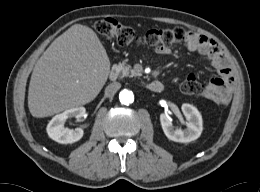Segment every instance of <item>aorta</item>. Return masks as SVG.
I'll return each instance as SVG.
<instances>
[{
  "label": "aorta",
  "instance_id": "aorta-1",
  "mask_svg": "<svg viewBox=\"0 0 260 192\" xmlns=\"http://www.w3.org/2000/svg\"><path fill=\"white\" fill-rule=\"evenodd\" d=\"M119 100L124 105H129L134 102V94L128 89H123L119 93Z\"/></svg>",
  "mask_w": 260,
  "mask_h": 192
}]
</instances>
